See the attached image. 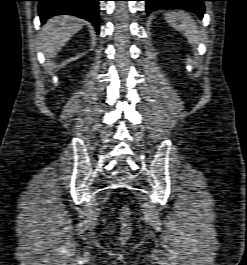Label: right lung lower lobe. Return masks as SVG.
<instances>
[{
    "mask_svg": "<svg viewBox=\"0 0 247 265\" xmlns=\"http://www.w3.org/2000/svg\"><path fill=\"white\" fill-rule=\"evenodd\" d=\"M39 1L38 13L41 22L51 16L68 13L83 18L93 24L99 33V1L100 0H37Z\"/></svg>",
    "mask_w": 247,
    "mask_h": 265,
    "instance_id": "1",
    "label": "right lung lower lobe"
}]
</instances>
